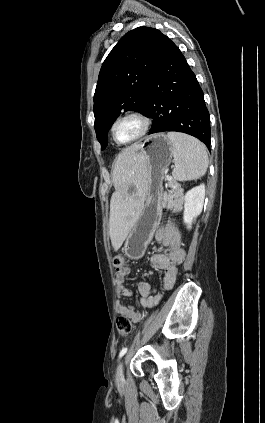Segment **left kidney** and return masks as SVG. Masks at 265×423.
<instances>
[{
    "label": "left kidney",
    "instance_id": "1",
    "mask_svg": "<svg viewBox=\"0 0 265 423\" xmlns=\"http://www.w3.org/2000/svg\"><path fill=\"white\" fill-rule=\"evenodd\" d=\"M205 198V185L200 184L186 192L183 221L191 229L193 221L200 215Z\"/></svg>",
    "mask_w": 265,
    "mask_h": 423
}]
</instances>
